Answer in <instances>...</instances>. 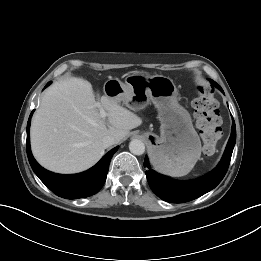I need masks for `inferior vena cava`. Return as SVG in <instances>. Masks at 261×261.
Segmentation results:
<instances>
[{
    "mask_svg": "<svg viewBox=\"0 0 261 261\" xmlns=\"http://www.w3.org/2000/svg\"><path fill=\"white\" fill-rule=\"evenodd\" d=\"M102 144L105 148L112 146L113 144H115V138L113 136H105L102 139Z\"/></svg>",
    "mask_w": 261,
    "mask_h": 261,
    "instance_id": "obj_1",
    "label": "inferior vena cava"
}]
</instances>
